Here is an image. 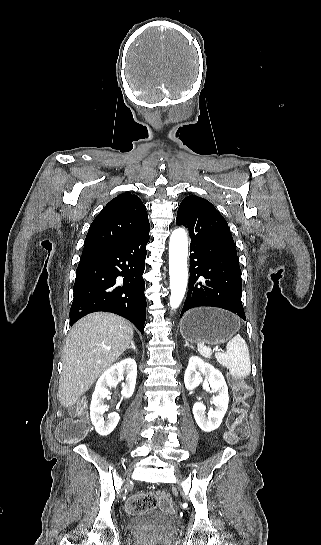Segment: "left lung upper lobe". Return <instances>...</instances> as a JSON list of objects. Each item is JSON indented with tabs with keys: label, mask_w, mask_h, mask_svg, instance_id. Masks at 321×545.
Here are the masks:
<instances>
[{
	"label": "left lung upper lobe",
	"mask_w": 321,
	"mask_h": 545,
	"mask_svg": "<svg viewBox=\"0 0 321 545\" xmlns=\"http://www.w3.org/2000/svg\"><path fill=\"white\" fill-rule=\"evenodd\" d=\"M195 204H211L209 201H207L204 198L198 197L196 195H190L187 196L180 204V207H186L189 205H195Z\"/></svg>",
	"instance_id": "left-lung-upper-lobe-1"
}]
</instances>
